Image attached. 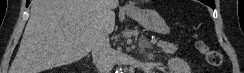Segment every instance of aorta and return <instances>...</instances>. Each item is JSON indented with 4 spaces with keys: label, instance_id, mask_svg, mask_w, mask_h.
I'll return each mask as SVG.
<instances>
[{
    "label": "aorta",
    "instance_id": "obj_1",
    "mask_svg": "<svg viewBox=\"0 0 244 73\" xmlns=\"http://www.w3.org/2000/svg\"><path fill=\"white\" fill-rule=\"evenodd\" d=\"M120 70H122L121 68L118 69V71L120 72Z\"/></svg>",
    "mask_w": 244,
    "mask_h": 73
}]
</instances>
